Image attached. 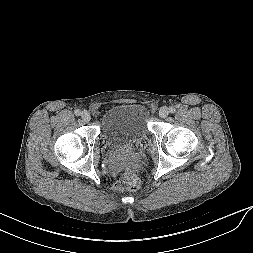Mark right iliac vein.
Listing matches in <instances>:
<instances>
[{
  "label": "right iliac vein",
  "instance_id": "63e3f726",
  "mask_svg": "<svg viewBox=\"0 0 253 253\" xmlns=\"http://www.w3.org/2000/svg\"><path fill=\"white\" fill-rule=\"evenodd\" d=\"M81 118L83 119L84 122H89L91 119L90 113L88 111H83L81 113Z\"/></svg>",
  "mask_w": 253,
  "mask_h": 253
}]
</instances>
